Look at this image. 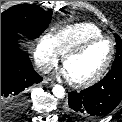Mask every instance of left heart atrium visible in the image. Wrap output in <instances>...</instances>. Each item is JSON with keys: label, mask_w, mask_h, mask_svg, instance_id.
Instances as JSON below:
<instances>
[{"label": "left heart atrium", "mask_w": 122, "mask_h": 122, "mask_svg": "<svg viewBox=\"0 0 122 122\" xmlns=\"http://www.w3.org/2000/svg\"><path fill=\"white\" fill-rule=\"evenodd\" d=\"M61 74H62L64 77L69 78V77H68V74H67V71L65 70V68H63V69L61 70Z\"/></svg>", "instance_id": "obj_1"}]
</instances>
